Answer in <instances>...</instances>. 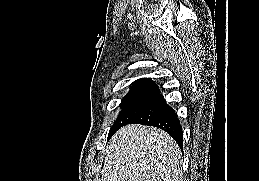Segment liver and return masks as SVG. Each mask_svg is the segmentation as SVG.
<instances>
[{"instance_id": "6515ba94", "label": "liver", "mask_w": 259, "mask_h": 181, "mask_svg": "<svg viewBox=\"0 0 259 181\" xmlns=\"http://www.w3.org/2000/svg\"><path fill=\"white\" fill-rule=\"evenodd\" d=\"M181 152L159 128L127 125L111 138L101 181H180Z\"/></svg>"}]
</instances>
